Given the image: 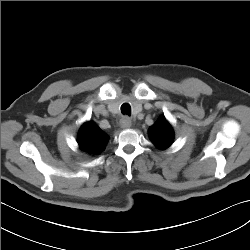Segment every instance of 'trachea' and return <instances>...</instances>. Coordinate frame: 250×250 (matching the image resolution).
Returning <instances> with one entry per match:
<instances>
[{
	"label": "trachea",
	"mask_w": 250,
	"mask_h": 250,
	"mask_svg": "<svg viewBox=\"0 0 250 250\" xmlns=\"http://www.w3.org/2000/svg\"><path fill=\"white\" fill-rule=\"evenodd\" d=\"M121 113L126 115H131V107L128 103L122 104Z\"/></svg>",
	"instance_id": "1"
}]
</instances>
